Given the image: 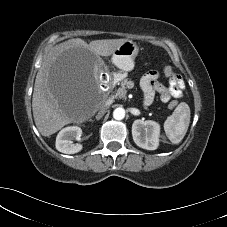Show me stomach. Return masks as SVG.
I'll return each instance as SVG.
<instances>
[{
	"mask_svg": "<svg viewBox=\"0 0 227 227\" xmlns=\"http://www.w3.org/2000/svg\"><path fill=\"white\" fill-rule=\"evenodd\" d=\"M138 50L135 42L127 40L113 52L112 63L122 71H131L134 68Z\"/></svg>",
	"mask_w": 227,
	"mask_h": 227,
	"instance_id": "obj_1",
	"label": "stomach"
}]
</instances>
